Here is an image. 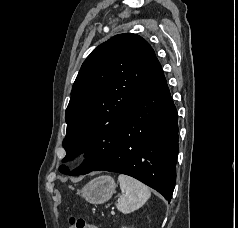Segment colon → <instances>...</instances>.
I'll use <instances>...</instances> for the list:
<instances>
[{
  "label": "colon",
  "instance_id": "obj_1",
  "mask_svg": "<svg viewBox=\"0 0 238 228\" xmlns=\"http://www.w3.org/2000/svg\"><path fill=\"white\" fill-rule=\"evenodd\" d=\"M70 225L72 228H99L97 225L88 222L83 218H70Z\"/></svg>",
  "mask_w": 238,
  "mask_h": 228
}]
</instances>
